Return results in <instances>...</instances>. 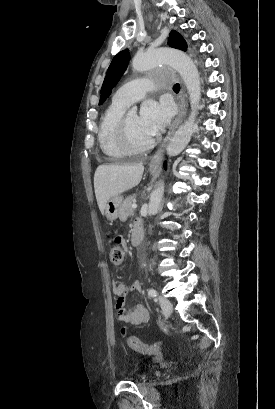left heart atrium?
<instances>
[{
	"instance_id": "obj_1",
	"label": "left heart atrium",
	"mask_w": 275,
	"mask_h": 409,
	"mask_svg": "<svg viewBox=\"0 0 275 409\" xmlns=\"http://www.w3.org/2000/svg\"><path fill=\"white\" fill-rule=\"evenodd\" d=\"M171 110L166 105L154 101H147L142 105L140 124L144 131L151 137L158 136L168 125Z\"/></svg>"
}]
</instances>
